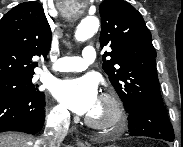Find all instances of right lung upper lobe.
I'll use <instances>...</instances> for the list:
<instances>
[{"label": "right lung upper lobe", "mask_w": 183, "mask_h": 147, "mask_svg": "<svg viewBox=\"0 0 183 147\" xmlns=\"http://www.w3.org/2000/svg\"><path fill=\"white\" fill-rule=\"evenodd\" d=\"M51 29L36 1L12 8L0 20V80L34 74L35 55L47 56Z\"/></svg>", "instance_id": "right-lung-upper-lobe-1"}]
</instances>
